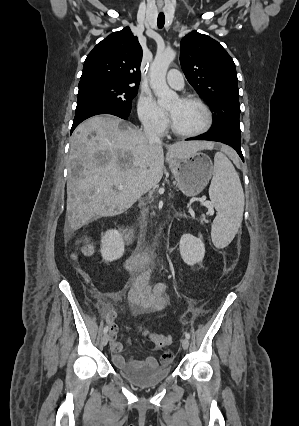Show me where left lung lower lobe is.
I'll return each mask as SVG.
<instances>
[{"label":"left lung lower lobe","instance_id":"0a47b994","mask_svg":"<svg viewBox=\"0 0 299 426\" xmlns=\"http://www.w3.org/2000/svg\"><path fill=\"white\" fill-rule=\"evenodd\" d=\"M187 140H209V141L222 142V143L227 144V145L231 146L232 148H234L237 151V153L239 154V156L241 157V159L244 161L243 155H242V152H241L240 138L235 137L233 135L226 134V133H211V132H208V133H205V134L197 136V137L188 138Z\"/></svg>","mask_w":299,"mask_h":426}]
</instances>
